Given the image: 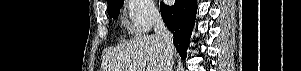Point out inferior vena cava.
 <instances>
[{
	"instance_id": "obj_1",
	"label": "inferior vena cava",
	"mask_w": 301,
	"mask_h": 71,
	"mask_svg": "<svg viewBox=\"0 0 301 71\" xmlns=\"http://www.w3.org/2000/svg\"><path fill=\"white\" fill-rule=\"evenodd\" d=\"M155 34L161 39L163 50V61L161 71H172L173 64V35L166 27L160 15L155 17Z\"/></svg>"
}]
</instances>
